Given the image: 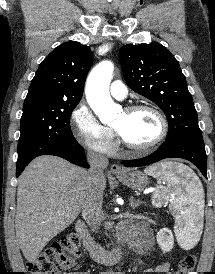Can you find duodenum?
Returning a JSON list of instances; mask_svg holds the SVG:
<instances>
[{
    "label": "duodenum",
    "mask_w": 215,
    "mask_h": 274,
    "mask_svg": "<svg viewBox=\"0 0 215 274\" xmlns=\"http://www.w3.org/2000/svg\"><path fill=\"white\" fill-rule=\"evenodd\" d=\"M76 231L80 237L83 247L89 252L95 261L106 265H115L124 260L125 252L121 248L116 247L109 250L102 247L92 238L83 221L77 222Z\"/></svg>",
    "instance_id": "1"
}]
</instances>
